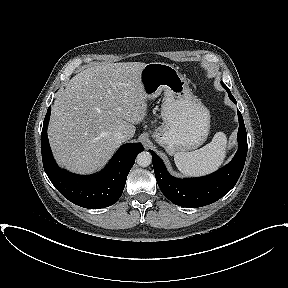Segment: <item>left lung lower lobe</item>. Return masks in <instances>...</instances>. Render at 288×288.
Returning a JSON list of instances; mask_svg holds the SVG:
<instances>
[{
  "instance_id": "1",
  "label": "left lung lower lobe",
  "mask_w": 288,
  "mask_h": 288,
  "mask_svg": "<svg viewBox=\"0 0 288 288\" xmlns=\"http://www.w3.org/2000/svg\"><path fill=\"white\" fill-rule=\"evenodd\" d=\"M230 99L236 103L230 90ZM239 148L229 164L218 171L199 178L178 179L171 176L158 155L150 150L155 177L162 193L175 205L196 208L209 205L227 194L238 181L247 155V134L244 121L238 110Z\"/></svg>"
}]
</instances>
